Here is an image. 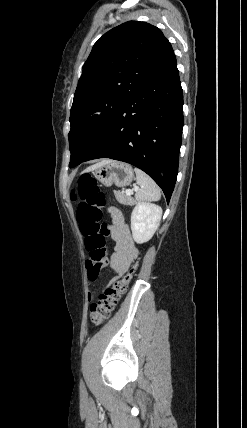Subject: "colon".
Returning a JSON list of instances; mask_svg holds the SVG:
<instances>
[{
  "label": "colon",
  "mask_w": 247,
  "mask_h": 428,
  "mask_svg": "<svg viewBox=\"0 0 247 428\" xmlns=\"http://www.w3.org/2000/svg\"><path fill=\"white\" fill-rule=\"evenodd\" d=\"M77 196L80 200L77 208V220L82 234L85 236V246L88 251L86 261L89 281H96L105 264L106 224L102 223L105 197L94 177L83 174L77 183ZM138 262H135L118 281L105 289L98 301L90 306V322L99 326L109 319L121 297L126 293L132 280Z\"/></svg>",
  "instance_id": "1"
}]
</instances>
